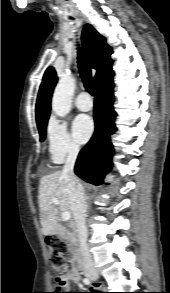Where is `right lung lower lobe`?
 I'll return each instance as SVG.
<instances>
[{"instance_id":"1","label":"right lung lower lobe","mask_w":170,"mask_h":293,"mask_svg":"<svg viewBox=\"0 0 170 293\" xmlns=\"http://www.w3.org/2000/svg\"><path fill=\"white\" fill-rule=\"evenodd\" d=\"M113 75L96 85L94 106L95 132L89 143L80 151L75 173L94 185L103 183L104 176L111 170L113 145L110 135L117 129L114 124Z\"/></svg>"}]
</instances>
